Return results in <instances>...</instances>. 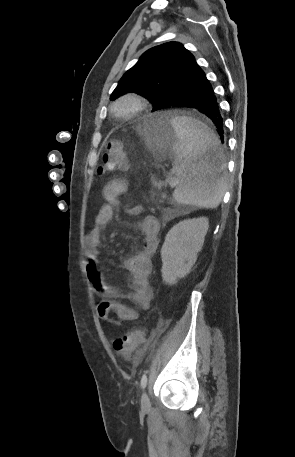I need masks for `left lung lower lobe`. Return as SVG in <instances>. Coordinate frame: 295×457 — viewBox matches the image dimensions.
Instances as JSON below:
<instances>
[{
  "label": "left lung lower lobe",
  "mask_w": 295,
  "mask_h": 457,
  "mask_svg": "<svg viewBox=\"0 0 295 457\" xmlns=\"http://www.w3.org/2000/svg\"><path fill=\"white\" fill-rule=\"evenodd\" d=\"M187 79L190 85L164 101L160 109L170 106H180L193 108L203 113L218 128L217 132L221 136L222 143H224L223 120L214 96V91L204 71L197 63L188 74ZM214 160L215 154H212L209 162L214 163Z\"/></svg>",
  "instance_id": "0a47b994"
}]
</instances>
